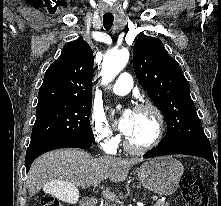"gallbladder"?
<instances>
[{
    "mask_svg": "<svg viewBox=\"0 0 221 206\" xmlns=\"http://www.w3.org/2000/svg\"><path fill=\"white\" fill-rule=\"evenodd\" d=\"M45 194H51V198H58L59 202H67V205H78L76 198H81L78 189L68 185V181H53L52 185L45 186Z\"/></svg>",
    "mask_w": 221,
    "mask_h": 206,
    "instance_id": "gallbladder-1",
    "label": "gallbladder"
}]
</instances>
